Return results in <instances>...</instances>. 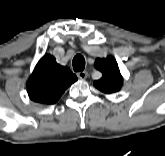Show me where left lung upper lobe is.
Returning <instances> with one entry per match:
<instances>
[{"mask_svg": "<svg viewBox=\"0 0 165 156\" xmlns=\"http://www.w3.org/2000/svg\"><path fill=\"white\" fill-rule=\"evenodd\" d=\"M95 67L103 74L101 79L94 81L97 89L107 94L120 90L123 84V78L114 58L111 56L103 59L97 58Z\"/></svg>", "mask_w": 165, "mask_h": 156, "instance_id": "1", "label": "left lung upper lobe"}]
</instances>
